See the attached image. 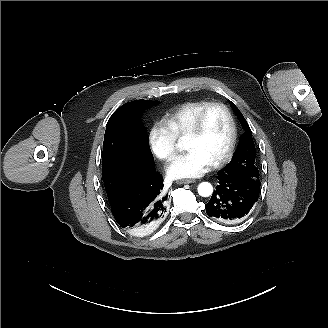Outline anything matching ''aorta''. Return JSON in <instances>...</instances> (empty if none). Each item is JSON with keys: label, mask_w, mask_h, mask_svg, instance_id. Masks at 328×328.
I'll use <instances>...</instances> for the list:
<instances>
[{"label": "aorta", "mask_w": 328, "mask_h": 328, "mask_svg": "<svg viewBox=\"0 0 328 328\" xmlns=\"http://www.w3.org/2000/svg\"><path fill=\"white\" fill-rule=\"evenodd\" d=\"M213 193V187L209 182H202L198 186V194L202 197H209Z\"/></svg>", "instance_id": "1"}]
</instances>
